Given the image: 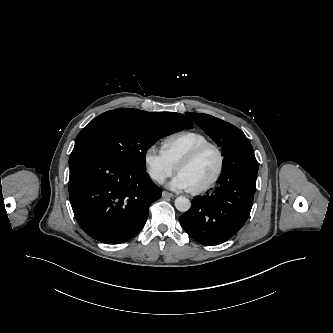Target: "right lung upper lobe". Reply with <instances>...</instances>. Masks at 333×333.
<instances>
[{"label": "right lung upper lobe", "mask_w": 333, "mask_h": 333, "mask_svg": "<svg viewBox=\"0 0 333 333\" xmlns=\"http://www.w3.org/2000/svg\"><path fill=\"white\" fill-rule=\"evenodd\" d=\"M138 113H140L143 117L151 119V120H157L161 121L167 118H176L188 125H191L193 127L192 121L187 118L186 116L179 114V113H174V112H146V111H141V110H136Z\"/></svg>", "instance_id": "cb5924a9"}]
</instances>
